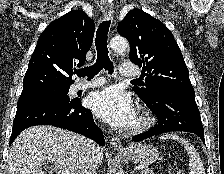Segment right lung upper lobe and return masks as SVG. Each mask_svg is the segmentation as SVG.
Returning a JSON list of instances; mask_svg holds the SVG:
<instances>
[{
	"instance_id": "1",
	"label": "right lung upper lobe",
	"mask_w": 224,
	"mask_h": 174,
	"mask_svg": "<svg viewBox=\"0 0 224 174\" xmlns=\"http://www.w3.org/2000/svg\"><path fill=\"white\" fill-rule=\"evenodd\" d=\"M95 24L82 10L54 20L41 34L23 80L22 93L47 85H71L74 67L84 64Z\"/></svg>"
}]
</instances>
